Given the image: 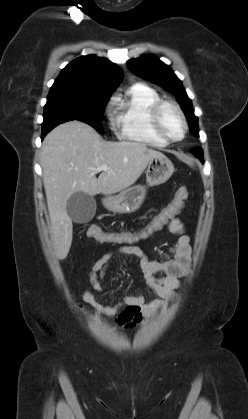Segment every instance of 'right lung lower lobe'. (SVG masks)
Listing matches in <instances>:
<instances>
[{
	"instance_id": "right-lung-lower-lobe-1",
	"label": "right lung lower lobe",
	"mask_w": 248,
	"mask_h": 419,
	"mask_svg": "<svg viewBox=\"0 0 248 419\" xmlns=\"http://www.w3.org/2000/svg\"><path fill=\"white\" fill-rule=\"evenodd\" d=\"M61 123H63V122H58V123H54V124H52V125H48V126H45V127H42V139L45 137V135L50 131V130H52L54 127H56L57 125H59V124H61Z\"/></svg>"
}]
</instances>
